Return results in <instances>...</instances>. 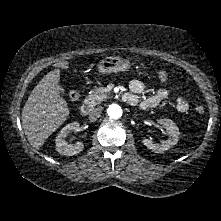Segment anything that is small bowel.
I'll list each match as a JSON object with an SVG mask.
<instances>
[{
	"mask_svg": "<svg viewBox=\"0 0 221 221\" xmlns=\"http://www.w3.org/2000/svg\"><path fill=\"white\" fill-rule=\"evenodd\" d=\"M160 77L165 76V72L161 71L159 73ZM130 90H131V95H133L136 99V102L134 105H137L140 109L142 110H148L155 108L158 106L163 100H166L170 93L167 88H160L155 94L152 96L139 101L138 100V95L142 94L145 90V84L140 81V80H133L130 83ZM176 103V109L179 112H186L189 109V103L182 97H177L175 100Z\"/></svg>",
	"mask_w": 221,
	"mask_h": 221,
	"instance_id": "c3829d8e",
	"label": "small bowel"
}]
</instances>
